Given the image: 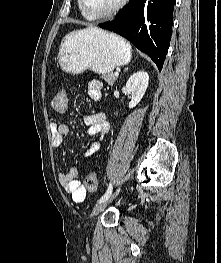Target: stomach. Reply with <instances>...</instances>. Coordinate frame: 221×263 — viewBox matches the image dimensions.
I'll use <instances>...</instances> for the list:
<instances>
[{
	"mask_svg": "<svg viewBox=\"0 0 221 263\" xmlns=\"http://www.w3.org/2000/svg\"><path fill=\"white\" fill-rule=\"evenodd\" d=\"M130 60L129 44L118 35L100 29H85L67 35L58 52L61 69L71 74H80L87 69L107 74Z\"/></svg>",
	"mask_w": 221,
	"mask_h": 263,
	"instance_id": "stomach-1",
	"label": "stomach"
}]
</instances>
